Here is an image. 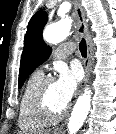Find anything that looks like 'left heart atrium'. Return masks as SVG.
<instances>
[{"label":"left heart atrium","instance_id":"1","mask_svg":"<svg viewBox=\"0 0 116 134\" xmlns=\"http://www.w3.org/2000/svg\"><path fill=\"white\" fill-rule=\"evenodd\" d=\"M82 73L76 66L71 69L63 67L59 70L56 87L61 101L67 106L77 91Z\"/></svg>","mask_w":116,"mask_h":134}]
</instances>
